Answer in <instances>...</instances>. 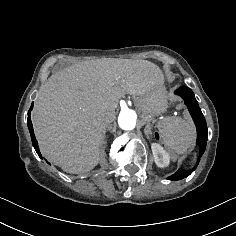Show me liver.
I'll use <instances>...</instances> for the list:
<instances>
[{"label": "liver", "mask_w": 236, "mask_h": 236, "mask_svg": "<svg viewBox=\"0 0 236 236\" xmlns=\"http://www.w3.org/2000/svg\"><path fill=\"white\" fill-rule=\"evenodd\" d=\"M156 84H164L163 72L147 60L103 58L51 75L33 115L42 154L65 172L90 171L105 158L100 145L119 99L143 98Z\"/></svg>", "instance_id": "6515ba94"}]
</instances>
